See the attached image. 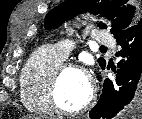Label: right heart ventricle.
Segmentation results:
<instances>
[{"label":"right heart ventricle","instance_id":"e07e8e85","mask_svg":"<svg viewBox=\"0 0 142 119\" xmlns=\"http://www.w3.org/2000/svg\"><path fill=\"white\" fill-rule=\"evenodd\" d=\"M63 61L50 46L40 47L32 53L20 77L21 100L27 110L37 114L52 112L47 89L51 77Z\"/></svg>","mask_w":142,"mask_h":119}]
</instances>
